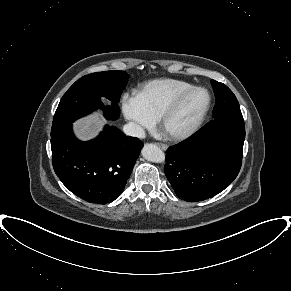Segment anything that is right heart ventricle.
I'll return each instance as SVG.
<instances>
[{
  "label": "right heart ventricle",
  "instance_id": "1",
  "mask_svg": "<svg viewBox=\"0 0 291 291\" xmlns=\"http://www.w3.org/2000/svg\"><path fill=\"white\" fill-rule=\"evenodd\" d=\"M192 86L193 84L184 80L160 78L143 85L136 97L143 108L156 120L174 97Z\"/></svg>",
  "mask_w": 291,
  "mask_h": 291
}]
</instances>
